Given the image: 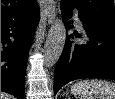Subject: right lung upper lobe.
<instances>
[{
    "label": "right lung upper lobe",
    "instance_id": "cb5924a9",
    "mask_svg": "<svg viewBox=\"0 0 115 99\" xmlns=\"http://www.w3.org/2000/svg\"><path fill=\"white\" fill-rule=\"evenodd\" d=\"M31 2L32 0H1V13L19 10Z\"/></svg>",
    "mask_w": 115,
    "mask_h": 99
}]
</instances>
